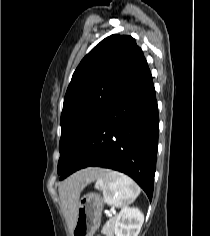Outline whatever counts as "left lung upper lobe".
Instances as JSON below:
<instances>
[{
  "mask_svg": "<svg viewBox=\"0 0 210 236\" xmlns=\"http://www.w3.org/2000/svg\"><path fill=\"white\" fill-rule=\"evenodd\" d=\"M147 66L135 39L126 35L105 38L83 58L64 98L58 174L97 117Z\"/></svg>",
  "mask_w": 210,
  "mask_h": 236,
  "instance_id": "left-lung-upper-lobe-1",
  "label": "left lung upper lobe"
}]
</instances>
